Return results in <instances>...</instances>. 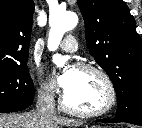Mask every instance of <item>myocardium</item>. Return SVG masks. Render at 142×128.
<instances>
[{"mask_svg": "<svg viewBox=\"0 0 142 128\" xmlns=\"http://www.w3.org/2000/svg\"><path fill=\"white\" fill-rule=\"evenodd\" d=\"M76 69L81 70V71L94 72L102 77L108 89L107 104L102 109H99L96 111L80 110V109L70 106L66 102L65 93H64L60 99L61 108L68 113L81 116V117H86V118L100 117V116H103L109 113L114 108L116 101H117L116 88L109 74L103 68L97 65H94V64H89V63H78L76 65Z\"/></svg>", "mask_w": 142, "mask_h": 128, "instance_id": "obj_1", "label": "myocardium"}]
</instances>
